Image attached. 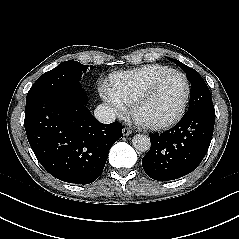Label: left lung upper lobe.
<instances>
[{
  "instance_id": "1",
  "label": "left lung upper lobe",
  "mask_w": 239,
  "mask_h": 239,
  "mask_svg": "<svg viewBox=\"0 0 239 239\" xmlns=\"http://www.w3.org/2000/svg\"><path fill=\"white\" fill-rule=\"evenodd\" d=\"M169 59L186 72V77L191 83L190 102L187 112L201 107H213L210 90L201 75L193 68L186 66L178 60Z\"/></svg>"
}]
</instances>
